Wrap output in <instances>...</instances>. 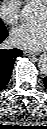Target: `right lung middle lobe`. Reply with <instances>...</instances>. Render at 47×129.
I'll return each mask as SVG.
<instances>
[{
  "label": "right lung middle lobe",
  "instance_id": "right-lung-middle-lobe-1",
  "mask_svg": "<svg viewBox=\"0 0 47 129\" xmlns=\"http://www.w3.org/2000/svg\"><path fill=\"white\" fill-rule=\"evenodd\" d=\"M4 27H5L4 24L0 20V28H4Z\"/></svg>",
  "mask_w": 47,
  "mask_h": 129
}]
</instances>
